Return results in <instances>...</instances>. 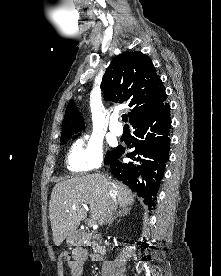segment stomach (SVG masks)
Here are the masks:
<instances>
[{
    "mask_svg": "<svg viewBox=\"0 0 221 276\" xmlns=\"http://www.w3.org/2000/svg\"><path fill=\"white\" fill-rule=\"evenodd\" d=\"M66 242L70 246H76L79 244V236L76 233H73L70 236H68Z\"/></svg>",
    "mask_w": 221,
    "mask_h": 276,
    "instance_id": "1",
    "label": "stomach"
}]
</instances>
